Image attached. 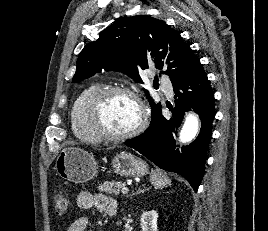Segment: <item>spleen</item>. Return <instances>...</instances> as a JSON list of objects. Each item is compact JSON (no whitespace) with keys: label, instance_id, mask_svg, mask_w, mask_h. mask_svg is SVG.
Here are the masks:
<instances>
[{"label":"spleen","instance_id":"obj_1","mask_svg":"<svg viewBox=\"0 0 268 231\" xmlns=\"http://www.w3.org/2000/svg\"><path fill=\"white\" fill-rule=\"evenodd\" d=\"M150 181L155 188H163L171 184V180L159 169L151 171Z\"/></svg>","mask_w":268,"mask_h":231}]
</instances>
